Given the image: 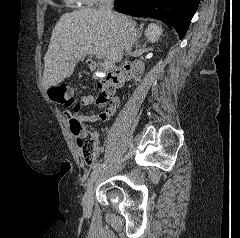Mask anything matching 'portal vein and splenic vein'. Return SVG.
Returning a JSON list of instances; mask_svg holds the SVG:
<instances>
[{"mask_svg":"<svg viewBox=\"0 0 240 238\" xmlns=\"http://www.w3.org/2000/svg\"><path fill=\"white\" fill-rule=\"evenodd\" d=\"M85 52H86V54H94V55H96L99 58L102 57L101 54L96 50V48L94 46H87L85 48ZM103 66L106 69H109V68H111L113 66V64L110 61L105 60L104 63H103Z\"/></svg>","mask_w":240,"mask_h":238,"instance_id":"18ae733b","label":"portal vein and splenic vein"}]
</instances>
